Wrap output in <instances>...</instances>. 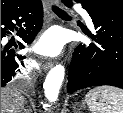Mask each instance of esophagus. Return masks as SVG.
<instances>
[{
	"mask_svg": "<svg viewBox=\"0 0 123 113\" xmlns=\"http://www.w3.org/2000/svg\"><path fill=\"white\" fill-rule=\"evenodd\" d=\"M50 3L58 4L59 1H58V0H46V1H44V5H45V8H46L47 10H49V5H50ZM53 65H54V62L48 61V62L42 63V64H41V67H42V69H43L44 71H47V70H49L50 68H52Z\"/></svg>",
	"mask_w": 123,
	"mask_h": 113,
	"instance_id": "esophagus-1",
	"label": "esophagus"
}]
</instances>
